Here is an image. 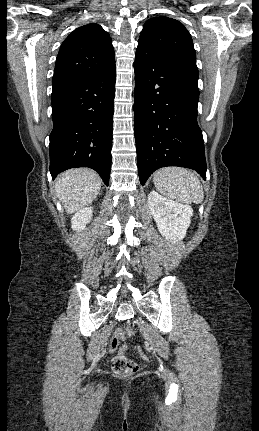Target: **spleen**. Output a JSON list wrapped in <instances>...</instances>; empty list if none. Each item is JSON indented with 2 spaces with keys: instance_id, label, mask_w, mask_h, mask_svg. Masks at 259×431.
<instances>
[{
  "instance_id": "obj_1",
  "label": "spleen",
  "mask_w": 259,
  "mask_h": 431,
  "mask_svg": "<svg viewBox=\"0 0 259 431\" xmlns=\"http://www.w3.org/2000/svg\"><path fill=\"white\" fill-rule=\"evenodd\" d=\"M153 182L160 193L181 203L199 204L204 199L203 187L198 177L181 167H165L153 175Z\"/></svg>"
}]
</instances>
